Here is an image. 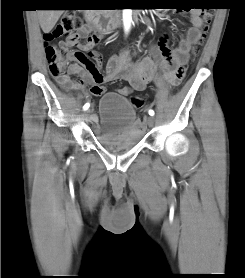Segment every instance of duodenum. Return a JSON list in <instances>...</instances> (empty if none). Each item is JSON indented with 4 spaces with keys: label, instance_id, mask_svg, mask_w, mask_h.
Instances as JSON below:
<instances>
[{
    "label": "duodenum",
    "instance_id": "410a0bca",
    "mask_svg": "<svg viewBox=\"0 0 245 278\" xmlns=\"http://www.w3.org/2000/svg\"><path fill=\"white\" fill-rule=\"evenodd\" d=\"M139 18L138 13H133V19L136 21ZM85 21L93 29L103 32L111 33L116 27V23L111 20L108 15H102L98 12H87L85 15ZM84 88H79L77 91H83Z\"/></svg>",
    "mask_w": 245,
    "mask_h": 278
}]
</instances>
